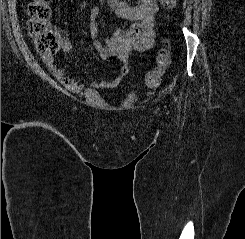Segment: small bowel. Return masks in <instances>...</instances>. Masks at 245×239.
Segmentation results:
<instances>
[{"label":"small bowel","instance_id":"small-bowel-1","mask_svg":"<svg viewBox=\"0 0 245 239\" xmlns=\"http://www.w3.org/2000/svg\"><path fill=\"white\" fill-rule=\"evenodd\" d=\"M111 11L119 18L132 21V25L122 30L114 28L103 42L99 39L96 24L97 9H93L90 17L89 35L92 48L100 58L107 62L118 60L119 74L113 79H100L91 83L94 89H115L129 73V54L131 51L147 52L154 46V15L158 10L157 0H140L137 5H130L122 0H110ZM63 52L73 56V45L67 36H63L61 44ZM43 62L51 74L69 91L79 93L84 85L66 75L64 69L55 65L54 55L43 56Z\"/></svg>","mask_w":245,"mask_h":239}]
</instances>
